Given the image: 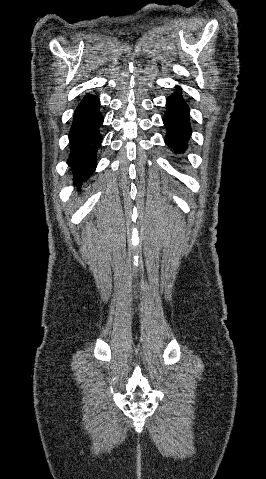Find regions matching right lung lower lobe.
Wrapping results in <instances>:
<instances>
[{"label": "right lung lower lobe", "mask_w": 266, "mask_h": 479, "mask_svg": "<svg viewBox=\"0 0 266 479\" xmlns=\"http://www.w3.org/2000/svg\"><path fill=\"white\" fill-rule=\"evenodd\" d=\"M100 100L87 94L77 106L69 132L70 154L67 163L74 176V184L86 181L95 170L97 150L102 142L99 129L103 116Z\"/></svg>", "instance_id": "98d812e1"}]
</instances>
